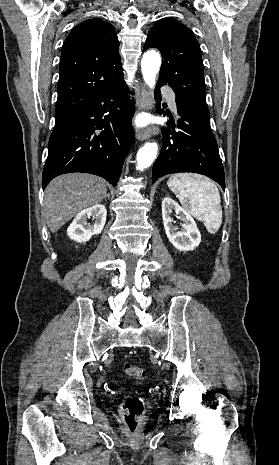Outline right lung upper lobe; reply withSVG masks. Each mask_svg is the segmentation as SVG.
Here are the masks:
<instances>
[{
    "mask_svg": "<svg viewBox=\"0 0 279 465\" xmlns=\"http://www.w3.org/2000/svg\"><path fill=\"white\" fill-rule=\"evenodd\" d=\"M59 73L55 125L124 80L114 27L100 19L77 25L63 44Z\"/></svg>",
    "mask_w": 279,
    "mask_h": 465,
    "instance_id": "cb5924a9",
    "label": "right lung upper lobe"
}]
</instances>
